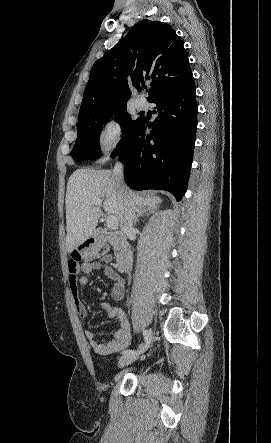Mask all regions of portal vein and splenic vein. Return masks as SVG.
Segmentation results:
<instances>
[{
  "mask_svg": "<svg viewBox=\"0 0 271 443\" xmlns=\"http://www.w3.org/2000/svg\"><path fill=\"white\" fill-rule=\"evenodd\" d=\"M91 204H94V206H99V208H102V202L101 200H94V202H91ZM106 225L109 227V229H116L118 227V222L114 216H109L106 220Z\"/></svg>",
  "mask_w": 271,
  "mask_h": 443,
  "instance_id": "1",
  "label": "portal vein and splenic vein"
}]
</instances>
